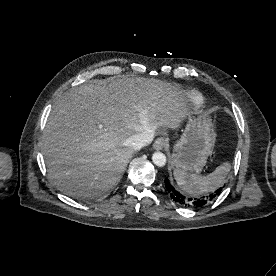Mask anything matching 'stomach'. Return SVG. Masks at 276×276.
Here are the masks:
<instances>
[{"instance_id":"0dacf381","label":"stomach","mask_w":276,"mask_h":276,"mask_svg":"<svg viewBox=\"0 0 276 276\" xmlns=\"http://www.w3.org/2000/svg\"><path fill=\"white\" fill-rule=\"evenodd\" d=\"M215 131L207 115L190 117L180 139L173 147L171 164L175 170L199 173L215 146Z\"/></svg>"}]
</instances>
